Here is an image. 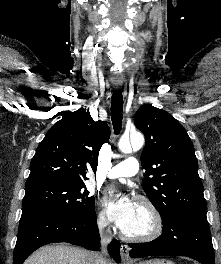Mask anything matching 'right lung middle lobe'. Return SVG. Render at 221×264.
Instances as JSON below:
<instances>
[{
  "instance_id": "right-lung-middle-lobe-1",
  "label": "right lung middle lobe",
  "mask_w": 221,
  "mask_h": 264,
  "mask_svg": "<svg viewBox=\"0 0 221 264\" xmlns=\"http://www.w3.org/2000/svg\"><path fill=\"white\" fill-rule=\"evenodd\" d=\"M85 184L49 183L26 189L22 215L81 216L95 210Z\"/></svg>"
}]
</instances>
